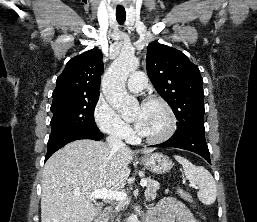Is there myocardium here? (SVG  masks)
Instances as JSON below:
<instances>
[{
  "instance_id": "1",
  "label": "myocardium",
  "mask_w": 257,
  "mask_h": 222,
  "mask_svg": "<svg viewBox=\"0 0 257 222\" xmlns=\"http://www.w3.org/2000/svg\"><path fill=\"white\" fill-rule=\"evenodd\" d=\"M151 103H158L165 109L168 116L167 128L163 133L157 136L148 137V136H143L141 134H138V138L147 143L159 144L167 141L173 136L177 128V118L174 113V110L164 98L159 96H150L142 102V105L151 104Z\"/></svg>"
}]
</instances>
